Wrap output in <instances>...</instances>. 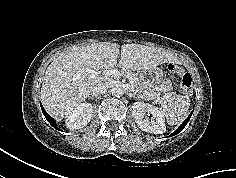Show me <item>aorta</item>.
<instances>
[{"label":"aorta","instance_id":"aorta-1","mask_svg":"<svg viewBox=\"0 0 236 178\" xmlns=\"http://www.w3.org/2000/svg\"><path fill=\"white\" fill-rule=\"evenodd\" d=\"M113 96L119 97L122 96L124 91L120 86H114L111 90Z\"/></svg>","mask_w":236,"mask_h":178}]
</instances>
